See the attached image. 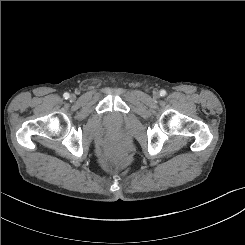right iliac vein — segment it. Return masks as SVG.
<instances>
[{"instance_id": "1", "label": "right iliac vein", "mask_w": 245, "mask_h": 245, "mask_svg": "<svg viewBox=\"0 0 245 245\" xmlns=\"http://www.w3.org/2000/svg\"><path fill=\"white\" fill-rule=\"evenodd\" d=\"M71 98L73 99V98H74V96L72 95V96H71Z\"/></svg>"}]
</instances>
